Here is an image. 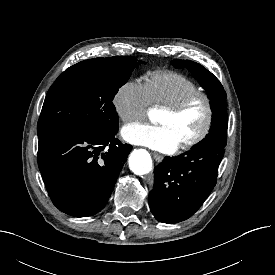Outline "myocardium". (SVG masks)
Wrapping results in <instances>:
<instances>
[{
  "label": "myocardium",
  "mask_w": 275,
  "mask_h": 275,
  "mask_svg": "<svg viewBox=\"0 0 275 275\" xmlns=\"http://www.w3.org/2000/svg\"><path fill=\"white\" fill-rule=\"evenodd\" d=\"M197 99H202L205 103V108H206L205 122L198 134H196L193 138L179 144L178 148L180 150H187L189 148L194 147L195 145L203 141L205 137L208 135L212 127L214 115H215V108H214L213 101L207 93L202 91H195L186 95L185 97H183L182 99H180L174 104L162 107V110L167 111L173 115H178L181 112H183L193 101Z\"/></svg>",
  "instance_id": "f54148a6"
}]
</instances>
